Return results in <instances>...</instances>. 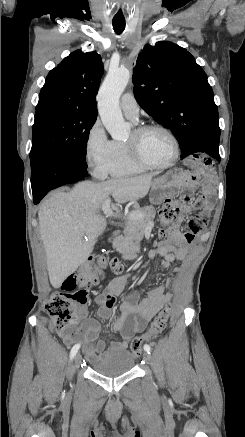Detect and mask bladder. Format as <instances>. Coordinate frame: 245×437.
Returning a JSON list of instances; mask_svg holds the SVG:
<instances>
[{"label": "bladder", "instance_id": "31cf9c89", "mask_svg": "<svg viewBox=\"0 0 245 437\" xmlns=\"http://www.w3.org/2000/svg\"><path fill=\"white\" fill-rule=\"evenodd\" d=\"M135 363L128 350L113 351L92 364V369L105 376H116L130 371Z\"/></svg>", "mask_w": 245, "mask_h": 437}]
</instances>
